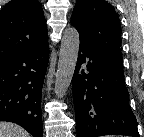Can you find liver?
Here are the masks:
<instances>
[{
  "label": "liver",
  "instance_id": "liver-1",
  "mask_svg": "<svg viewBox=\"0 0 144 137\" xmlns=\"http://www.w3.org/2000/svg\"><path fill=\"white\" fill-rule=\"evenodd\" d=\"M0 137H30L22 127L11 122H0Z\"/></svg>",
  "mask_w": 144,
  "mask_h": 137
}]
</instances>
